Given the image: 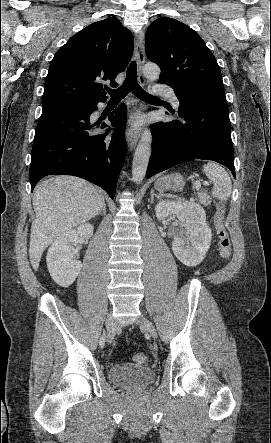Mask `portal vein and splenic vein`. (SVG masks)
<instances>
[{"label": "portal vein and splenic vein", "instance_id": "1", "mask_svg": "<svg viewBox=\"0 0 271 443\" xmlns=\"http://www.w3.org/2000/svg\"><path fill=\"white\" fill-rule=\"evenodd\" d=\"M202 184L203 186H209V182H202ZM192 188L194 192H199L201 188V182H199V180H196V182L193 183Z\"/></svg>", "mask_w": 271, "mask_h": 443}]
</instances>
